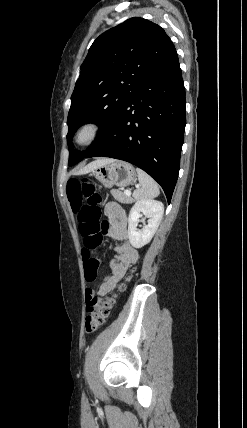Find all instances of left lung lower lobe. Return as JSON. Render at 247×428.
Instances as JSON below:
<instances>
[{
	"mask_svg": "<svg viewBox=\"0 0 247 428\" xmlns=\"http://www.w3.org/2000/svg\"><path fill=\"white\" fill-rule=\"evenodd\" d=\"M185 104L175 50L125 102L87 158L111 157L138 166L161 185L170 203L180 166Z\"/></svg>",
	"mask_w": 247,
	"mask_h": 428,
	"instance_id": "0a47b994",
	"label": "left lung lower lobe"
}]
</instances>
